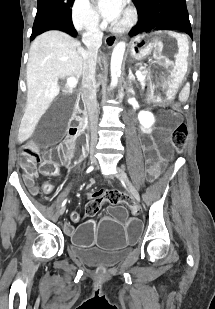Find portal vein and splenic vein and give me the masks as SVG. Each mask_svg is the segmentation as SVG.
Masks as SVG:
<instances>
[{
	"label": "portal vein and splenic vein",
	"mask_w": 215,
	"mask_h": 309,
	"mask_svg": "<svg viewBox=\"0 0 215 309\" xmlns=\"http://www.w3.org/2000/svg\"><path fill=\"white\" fill-rule=\"evenodd\" d=\"M135 74L138 80H143L144 76H142L141 70H136ZM77 82H78L77 78H72V76H70V78H67L66 84L67 86H76Z\"/></svg>",
	"instance_id": "1"
}]
</instances>
